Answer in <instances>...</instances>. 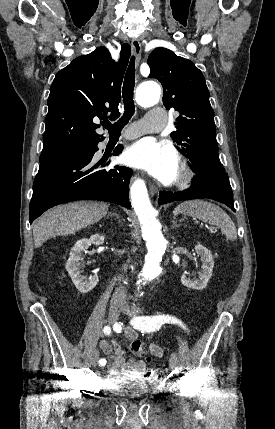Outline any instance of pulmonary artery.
Wrapping results in <instances>:
<instances>
[{
  "mask_svg": "<svg viewBox=\"0 0 275 429\" xmlns=\"http://www.w3.org/2000/svg\"><path fill=\"white\" fill-rule=\"evenodd\" d=\"M166 122V113L161 108L150 110L145 117L134 123L128 130L122 134L124 139H133L145 133L159 131L163 128Z\"/></svg>",
  "mask_w": 275,
  "mask_h": 429,
  "instance_id": "e3ab8cb5",
  "label": "pulmonary artery"
}]
</instances>
